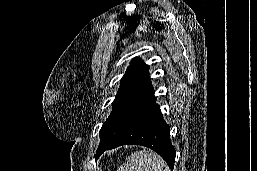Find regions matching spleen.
<instances>
[{
	"instance_id": "spleen-1",
	"label": "spleen",
	"mask_w": 257,
	"mask_h": 171,
	"mask_svg": "<svg viewBox=\"0 0 257 171\" xmlns=\"http://www.w3.org/2000/svg\"><path fill=\"white\" fill-rule=\"evenodd\" d=\"M118 171H170L164 160L157 154L140 150L127 157V163L118 168Z\"/></svg>"
}]
</instances>
